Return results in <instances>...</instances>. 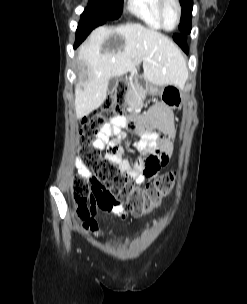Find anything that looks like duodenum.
<instances>
[{
  "mask_svg": "<svg viewBox=\"0 0 247 304\" xmlns=\"http://www.w3.org/2000/svg\"><path fill=\"white\" fill-rule=\"evenodd\" d=\"M149 84H150L149 81H147V80L145 81V79H143V78H141V77H139V78H134V84H133L134 86H137V85H138V86H146V87H147V86H149ZM133 88H136V87H133V86H131V85L128 86V89H130V90L133 89ZM137 88H138V87H137ZM139 88H140V87H139Z\"/></svg>",
  "mask_w": 247,
  "mask_h": 304,
  "instance_id": "1",
  "label": "duodenum"
}]
</instances>
